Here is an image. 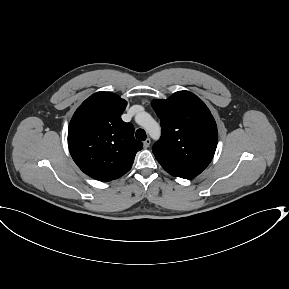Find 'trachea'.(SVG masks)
<instances>
[{
    "label": "trachea",
    "mask_w": 289,
    "mask_h": 289,
    "mask_svg": "<svg viewBox=\"0 0 289 289\" xmlns=\"http://www.w3.org/2000/svg\"><path fill=\"white\" fill-rule=\"evenodd\" d=\"M135 136L138 140L145 141L146 140V132L143 129H138L135 133Z\"/></svg>",
    "instance_id": "1"
}]
</instances>
